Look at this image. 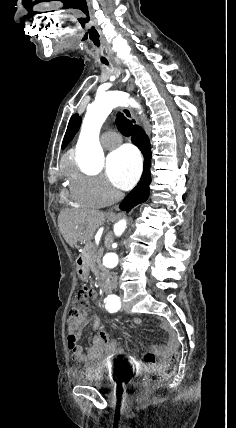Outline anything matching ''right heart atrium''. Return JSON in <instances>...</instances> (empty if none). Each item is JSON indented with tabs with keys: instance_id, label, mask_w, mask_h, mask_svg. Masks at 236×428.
<instances>
[{
	"instance_id": "1",
	"label": "right heart atrium",
	"mask_w": 236,
	"mask_h": 428,
	"mask_svg": "<svg viewBox=\"0 0 236 428\" xmlns=\"http://www.w3.org/2000/svg\"><path fill=\"white\" fill-rule=\"evenodd\" d=\"M71 191L82 206H109L121 197V193L105 178L75 173L72 176Z\"/></svg>"
}]
</instances>
